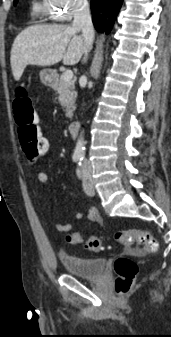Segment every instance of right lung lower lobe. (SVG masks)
Returning a JSON list of instances; mask_svg holds the SVG:
<instances>
[{"instance_id": "1", "label": "right lung lower lobe", "mask_w": 171, "mask_h": 337, "mask_svg": "<svg viewBox=\"0 0 171 337\" xmlns=\"http://www.w3.org/2000/svg\"><path fill=\"white\" fill-rule=\"evenodd\" d=\"M123 0H91L92 20L98 32L109 33Z\"/></svg>"}]
</instances>
